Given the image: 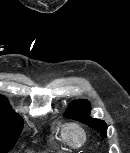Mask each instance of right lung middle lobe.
I'll return each mask as SVG.
<instances>
[{"label":"right lung middle lobe","instance_id":"1","mask_svg":"<svg viewBox=\"0 0 130 153\" xmlns=\"http://www.w3.org/2000/svg\"><path fill=\"white\" fill-rule=\"evenodd\" d=\"M23 128V120L17 115L0 114V153L9 152Z\"/></svg>","mask_w":130,"mask_h":153}]
</instances>
